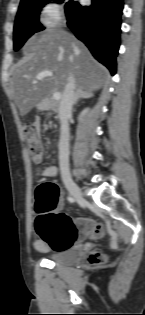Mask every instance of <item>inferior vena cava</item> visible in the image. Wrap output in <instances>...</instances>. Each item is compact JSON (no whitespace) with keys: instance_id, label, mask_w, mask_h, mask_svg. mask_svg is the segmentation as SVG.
I'll use <instances>...</instances> for the list:
<instances>
[{"instance_id":"inferior-vena-cava-1","label":"inferior vena cava","mask_w":145,"mask_h":315,"mask_svg":"<svg viewBox=\"0 0 145 315\" xmlns=\"http://www.w3.org/2000/svg\"><path fill=\"white\" fill-rule=\"evenodd\" d=\"M76 83L72 74L68 77V82L62 94V98L59 105V119H60V139H59V167L61 178L63 180L70 179L69 171V124L68 118L72 113V106L74 104V98Z\"/></svg>"}]
</instances>
